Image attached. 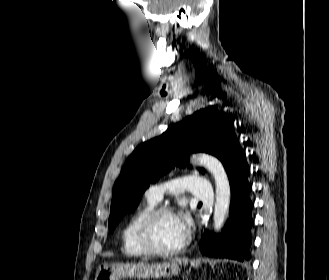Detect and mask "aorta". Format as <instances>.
<instances>
[{"mask_svg":"<svg viewBox=\"0 0 329 280\" xmlns=\"http://www.w3.org/2000/svg\"><path fill=\"white\" fill-rule=\"evenodd\" d=\"M195 161L206 167L215 179L216 202L213 221L214 229L218 232L223 227L230 206L231 190L228 176L222 163L213 156L199 154L195 156Z\"/></svg>","mask_w":329,"mask_h":280,"instance_id":"aorta-1","label":"aorta"}]
</instances>
